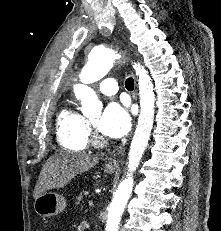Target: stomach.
I'll return each instance as SVG.
<instances>
[{
	"instance_id": "obj_1",
	"label": "stomach",
	"mask_w": 221,
	"mask_h": 231,
	"mask_svg": "<svg viewBox=\"0 0 221 231\" xmlns=\"http://www.w3.org/2000/svg\"><path fill=\"white\" fill-rule=\"evenodd\" d=\"M114 170V168L106 167L104 171L108 174H112ZM33 206L35 212L40 216H54L65 210L66 199L61 194L46 192L35 199Z\"/></svg>"
}]
</instances>
